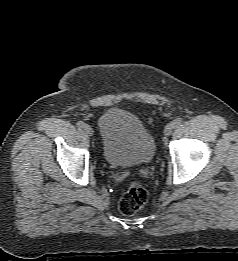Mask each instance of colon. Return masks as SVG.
<instances>
[{
  "label": "colon",
  "mask_w": 238,
  "mask_h": 261,
  "mask_svg": "<svg viewBox=\"0 0 238 261\" xmlns=\"http://www.w3.org/2000/svg\"><path fill=\"white\" fill-rule=\"evenodd\" d=\"M149 198V192L140 181L130 183L119 202V210L123 215L131 216L140 211Z\"/></svg>",
  "instance_id": "1"
}]
</instances>
